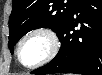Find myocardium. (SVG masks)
Segmentation results:
<instances>
[{
  "label": "myocardium",
  "mask_w": 102,
  "mask_h": 75,
  "mask_svg": "<svg viewBox=\"0 0 102 75\" xmlns=\"http://www.w3.org/2000/svg\"><path fill=\"white\" fill-rule=\"evenodd\" d=\"M37 34L45 35L48 38V40L50 42L49 52L39 62H37L33 65L25 64L22 60V47H23V45L27 39H29L33 35H37ZM60 47H61V40H60V37L55 30H53L50 27H38V28H35V29L29 31L20 40V42L18 44V48H17L18 60L26 67H29V68L37 67V66L43 65V64L51 61L59 52Z\"/></svg>",
  "instance_id": "1"
}]
</instances>
